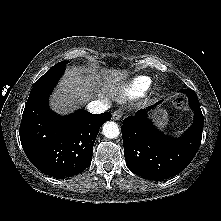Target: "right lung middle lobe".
Here are the masks:
<instances>
[{
    "label": "right lung middle lobe",
    "mask_w": 221,
    "mask_h": 221,
    "mask_svg": "<svg viewBox=\"0 0 221 221\" xmlns=\"http://www.w3.org/2000/svg\"><path fill=\"white\" fill-rule=\"evenodd\" d=\"M67 63L68 61H61L56 65H54L51 69H49L42 77H40L36 81L29 96L50 89L53 86H55L58 79L64 73L65 66Z\"/></svg>",
    "instance_id": "obj_1"
}]
</instances>
